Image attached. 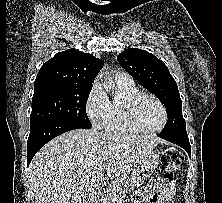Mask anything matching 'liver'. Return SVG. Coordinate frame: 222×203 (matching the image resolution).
I'll list each match as a JSON object with an SVG mask.
<instances>
[{
	"label": "liver",
	"mask_w": 222,
	"mask_h": 203,
	"mask_svg": "<svg viewBox=\"0 0 222 203\" xmlns=\"http://www.w3.org/2000/svg\"><path fill=\"white\" fill-rule=\"evenodd\" d=\"M159 141L88 129L66 132L45 144L30 164L35 203H83L109 178L123 181Z\"/></svg>",
	"instance_id": "liver-1"
}]
</instances>
